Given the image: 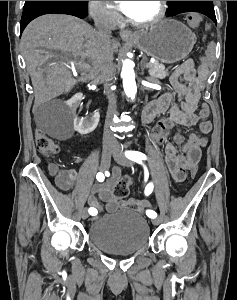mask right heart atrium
<instances>
[{
    "label": "right heart atrium",
    "instance_id": "right-heart-atrium-1",
    "mask_svg": "<svg viewBox=\"0 0 237 300\" xmlns=\"http://www.w3.org/2000/svg\"><path fill=\"white\" fill-rule=\"evenodd\" d=\"M88 10L92 20L98 25L114 26L119 20L117 13L103 1H89Z\"/></svg>",
    "mask_w": 237,
    "mask_h": 300
}]
</instances>
